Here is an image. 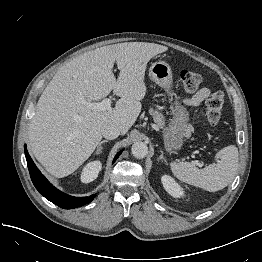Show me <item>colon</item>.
Wrapping results in <instances>:
<instances>
[{"mask_svg": "<svg viewBox=\"0 0 262 262\" xmlns=\"http://www.w3.org/2000/svg\"><path fill=\"white\" fill-rule=\"evenodd\" d=\"M179 80L185 90L197 91L204 83L203 76L192 70L179 71ZM224 107V94L221 91L212 92L205 100V116L210 125H217Z\"/></svg>", "mask_w": 262, "mask_h": 262, "instance_id": "1", "label": "colon"}]
</instances>
